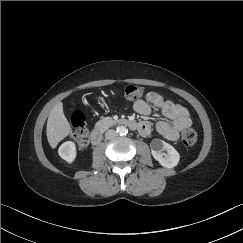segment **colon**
<instances>
[{"label":"colon","instance_id":"1","mask_svg":"<svg viewBox=\"0 0 243 243\" xmlns=\"http://www.w3.org/2000/svg\"><path fill=\"white\" fill-rule=\"evenodd\" d=\"M125 96L129 100H139L142 96V89L136 85H129L125 89ZM85 115L77 110L71 116L72 135L78 143L80 149H85L88 145L87 128ZM197 140V133L194 129H186L182 133V143L185 146H192Z\"/></svg>","mask_w":243,"mask_h":243}]
</instances>
